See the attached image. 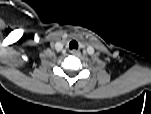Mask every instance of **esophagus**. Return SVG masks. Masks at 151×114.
Segmentation results:
<instances>
[{"instance_id": "1", "label": "esophagus", "mask_w": 151, "mask_h": 114, "mask_svg": "<svg viewBox=\"0 0 151 114\" xmlns=\"http://www.w3.org/2000/svg\"><path fill=\"white\" fill-rule=\"evenodd\" d=\"M71 54L73 55H77V54H80V51L76 50V49H73L70 51Z\"/></svg>"}]
</instances>
